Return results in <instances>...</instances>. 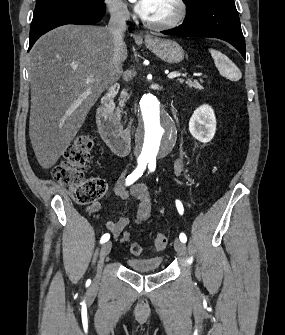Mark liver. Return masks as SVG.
I'll list each match as a JSON object with an SVG mask.
<instances>
[{
  "label": "liver",
  "instance_id": "1",
  "mask_svg": "<svg viewBox=\"0 0 285 335\" xmlns=\"http://www.w3.org/2000/svg\"><path fill=\"white\" fill-rule=\"evenodd\" d=\"M114 38L101 26H60L30 52L29 136L41 168H52L70 146L101 94L119 80ZM121 62L127 60L124 44ZM93 76V82H85Z\"/></svg>",
  "mask_w": 285,
  "mask_h": 335
}]
</instances>
